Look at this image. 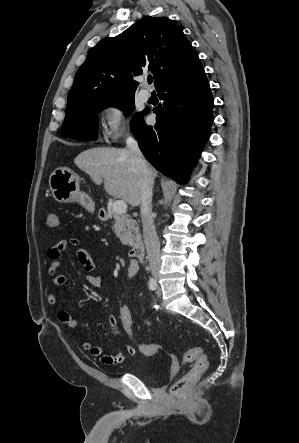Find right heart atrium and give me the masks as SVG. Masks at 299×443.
Instances as JSON below:
<instances>
[{
  "label": "right heart atrium",
  "instance_id": "obj_1",
  "mask_svg": "<svg viewBox=\"0 0 299 443\" xmlns=\"http://www.w3.org/2000/svg\"><path fill=\"white\" fill-rule=\"evenodd\" d=\"M99 125L103 138L117 140L127 133L126 110L118 101H108L99 110Z\"/></svg>",
  "mask_w": 299,
  "mask_h": 443
}]
</instances>
